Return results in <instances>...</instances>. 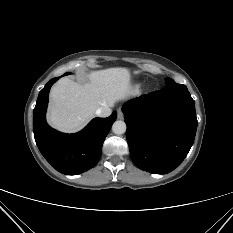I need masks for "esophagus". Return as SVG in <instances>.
<instances>
[{
  "label": "esophagus",
  "mask_w": 233,
  "mask_h": 233,
  "mask_svg": "<svg viewBox=\"0 0 233 233\" xmlns=\"http://www.w3.org/2000/svg\"><path fill=\"white\" fill-rule=\"evenodd\" d=\"M117 117H118V119H123V117H124L123 111H122L121 108H119V109L117 110Z\"/></svg>",
  "instance_id": "34e87169"
}]
</instances>
